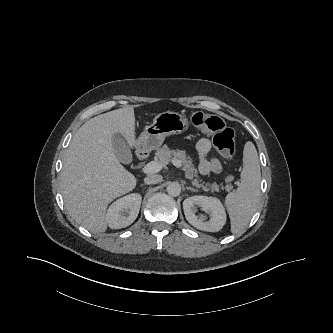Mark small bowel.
I'll return each mask as SVG.
<instances>
[{"mask_svg": "<svg viewBox=\"0 0 333 333\" xmlns=\"http://www.w3.org/2000/svg\"><path fill=\"white\" fill-rule=\"evenodd\" d=\"M211 149V142L208 138H202L196 145V153L199 160V172L202 175L210 173L218 174L221 172V163L218 159L208 158V153Z\"/></svg>", "mask_w": 333, "mask_h": 333, "instance_id": "small-bowel-1", "label": "small bowel"}]
</instances>
